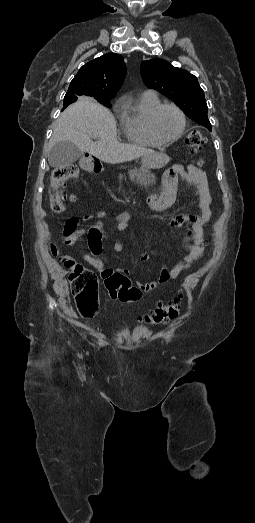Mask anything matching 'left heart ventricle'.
Returning <instances> with one entry per match:
<instances>
[{"instance_id":"left-heart-ventricle-1","label":"left heart ventricle","mask_w":255,"mask_h":523,"mask_svg":"<svg viewBox=\"0 0 255 523\" xmlns=\"http://www.w3.org/2000/svg\"><path fill=\"white\" fill-rule=\"evenodd\" d=\"M155 128L162 138L169 139L176 136L181 128L180 115L171 107L162 109L156 117Z\"/></svg>"}]
</instances>
